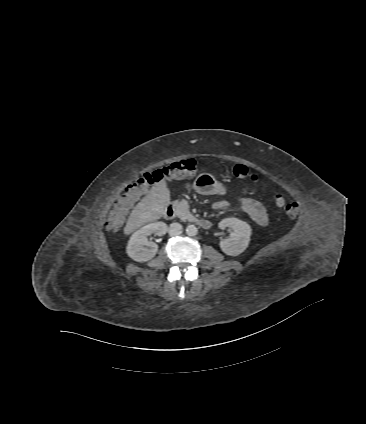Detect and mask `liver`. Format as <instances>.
<instances>
[{"instance_id":"1","label":"liver","mask_w":366,"mask_h":424,"mask_svg":"<svg viewBox=\"0 0 366 424\" xmlns=\"http://www.w3.org/2000/svg\"><path fill=\"white\" fill-rule=\"evenodd\" d=\"M170 204V191L166 181L155 184L149 193L134 207L128 217L124 234L128 235L146 223L162 217Z\"/></svg>"}]
</instances>
